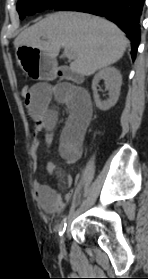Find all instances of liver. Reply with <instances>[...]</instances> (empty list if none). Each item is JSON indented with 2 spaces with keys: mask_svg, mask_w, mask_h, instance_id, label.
I'll return each instance as SVG.
<instances>
[{
  "mask_svg": "<svg viewBox=\"0 0 148 279\" xmlns=\"http://www.w3.org/2000/svg\"><path fill=\"white\" fill-rule=\"evenodd\" d=\"M44 39V40H41ZM128 40L124 33L106 19L86 13L59 11L22 31L14 41L36 48L55 60L62 47L73 50L70 69L85 76L114 64L122 58Z\"/></svg>",
  "mask_w": 148,
  "mask_h": 279,
  "instance_id": "liver-1",
  "label": "liver"
}]
</instances>
